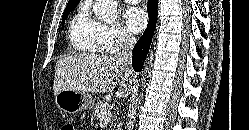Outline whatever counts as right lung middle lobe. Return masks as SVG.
<instances>
[{
    "label": "right lung middle lobe",
    "mask_w": 249,
    "mask_h": 130,
    "mask_svg": "<svg viewBox=\"0 0 249 130\" xmlns=\"http://www.w3.org/2000/svg\"><path fill=\"white\" fill-rule=\"evenodd\" d=\"M78 3H75V4H71V5H67L65 10H64V13H63V16H62V28H63V25H64V21L65 19L68 17L69 13L76 7Z\"/></svg>",
    "instance_id": "right-lung-middle-lobe-1"
}]
</instances>
